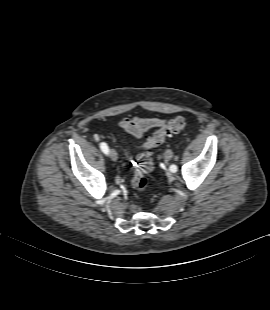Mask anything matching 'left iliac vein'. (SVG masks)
I'll return each mask as SVG.
<instances>
[{
    "instance_id": "4c4485c4",
    "label": "left iliac vein",
    "mask_w": 270,
    "mask_h": 310,
    "mask_svg": "<svg viewBox=\"0 0 270 310\" xmlns=\"http://www.w3.org/2000/svg\"><path fill=\"white\" fill-rule=\"evenodd\" d=\"M173 157V152H172V150H167L166 152H165V159H167V160H170L171 158Z\"/></svg>"
}]
</instances>
